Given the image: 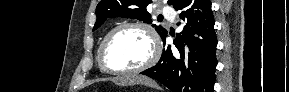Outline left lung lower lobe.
I'll return each instance as SVG.
<instances>
[{"label":"left lung lower lobe","mask_w":289,"mask_h":92,"mask_svg":"<svg viewBox=\"0 0 289 92\" xmlns=\"http://www.w3.org/2000/svg\"><path fill=\"white\" fill-rule=\"evenodd\" d=\"M183 31L163 51L156 66L141 74L156 79L173 92H213L217 39L210 0H176ZM179 25V24H178ZM167 34L162 38L165 43Z\"/></svg>","instance_id":"0a47b994"}]
</instances>
